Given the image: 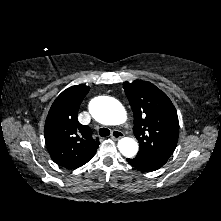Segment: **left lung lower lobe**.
Returning <instances> with one entry per match:
<instances>
[{
	"label": "left lung lower lobe",
	"mask_w": 221,
	"mask_h": 221,
	"mask_svg": "<svg viewBox=\"0 0 221 221\" xmlns=\"http://www.w3.org/2000/svg\"><path fill=\"white\" fill-rule=\"evenodd\" d=\"M127 162L130 165H132L133 167H135L141 171H144V172H152V171L158 170L159 168H161L163 166L155 161L147 159V158H145L141 155H138V154L133 159L128 158Z\"/></svg>",
	"instance_id": "obj_1"
}]
</instances>
